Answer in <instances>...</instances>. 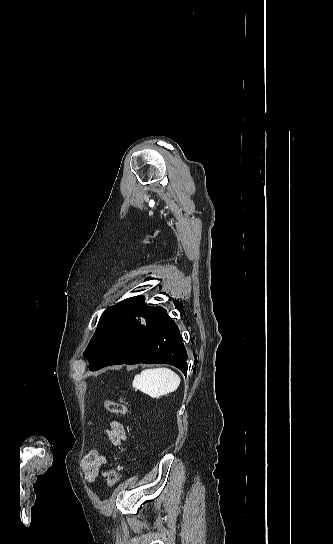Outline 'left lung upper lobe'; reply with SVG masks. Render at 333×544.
<instances>
[{"label": "left lung upper lobe", "mask_w": 333, "mask_h": 544, "mask_svg": "<svg viewBox=\"0 0 333 544\" xmlns=\"http://www.w3.org/2000/svg\"><path fill=\"white\" fill-rule=\"evenodd\" d=\"M167 314L161 307H148L144 305L142 296L131 297L120 303L107 308L102 314L97 330L87 346L84 355L89 359L90 370L98 366L103 358V352L98 345L99 330L105 322L111 319H132L136 324L141 325L140 321L146 322V326H152ZM145 326V325H143Z\"/></svg>", "instance_id": "obj_1"}]
</instances>
